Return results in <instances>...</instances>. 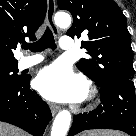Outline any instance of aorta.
Returning <instances> with one entry per match:
<instances>
[{"label": "aorta", "mask_w": 136, "mask_h": 136, "mask_svg": "<svg viewBox=\"0 0 136 136\" xmlns=\"http://www.w3.org/2000/svg\"><path fill=\"white\" fill-rule=\"evenodd\" d=\"M55 23L61 28H67L71 25V17L65 12H58L54 17ZM71 122V114L67 110L60 111L52 126L51 136H66Z\"/></svg>", "instance_id": "762f6f07"}]
</instances>
